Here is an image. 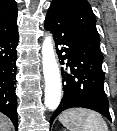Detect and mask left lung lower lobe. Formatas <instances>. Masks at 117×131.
Wrapping results in <instances>:
<instances>
[{
  "instance_id": "0a47b994",
  "label": "left lung lower lobe",
  "mask_w": 117,
  "mask_h": 131,
  "mask_svg": "<svg viewBox=\"0 0 117 131\" xmlns=\"http://www.w3.org/2000/svg\"><path fill=\"white\" fill-rule=\"evenodd\" d=\"M45 28L53 34L57 55L64 65L61 68L64 94L51 117V124L58 114L73 107L95 110L111 120L103 85V60L83 45L72 21L62 9L49 8Z\"/></svg>"
}]
</instances>
